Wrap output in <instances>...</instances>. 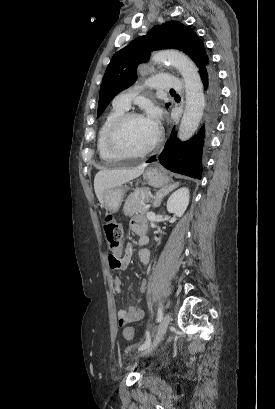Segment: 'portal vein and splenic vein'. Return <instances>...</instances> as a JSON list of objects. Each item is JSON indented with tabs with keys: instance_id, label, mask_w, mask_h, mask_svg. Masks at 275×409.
I'll list each match as a JSON object with an SVG mask.
<instances>
[{
	"instance_id": "obj_1",
	"label": "portal vein and splenic vein",
	"mask_w": 275,
	"mask_h": 409,
	"mask_svg": "<svg viewBox=\"0 0 275 409\" xmlns=\"http://www.w3.org/2000/svg\"><path fill=\"white\" fill-rule=\"evenodd\" d=\"M150 205H144V209H149Z\"/></svg>"
}]
</instances>
